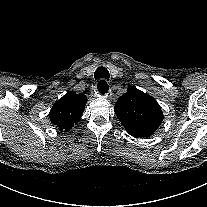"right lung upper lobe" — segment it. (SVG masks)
Segmentation results:
<instances>
[{"mask_svg":"<svg viewBox=\"0 0 207 207\" xmlns=\"http://www.w3.org/2000/svg\"><path fill=\"white\" fill-rule=\"evenodd\" d=\"M87 101L88 99L84 94H76L72 91L67 92L52 106L49 113L50 121L60 131L70 130L82 116Z\"/></svg>","mask_w":207,"mask_h":207,"instance_id":"1","label":"right lung upper lobe"}]
</instances>
